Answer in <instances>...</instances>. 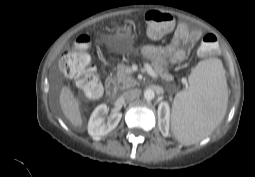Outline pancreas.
I'll use <instances>...</instances> for the list:
<instances>
[{
  "instance_id": "pancreas-1",
  "label": "pancreas",
  "mask_w": 255,
  "mask_h": 177,
  "mask_svg": "<svg viewBox=\"0 0 255 177\" xmlns=\"http://www.w3.org/2000/svg\"><path fill=\"white\" fill-rule=\"evenodd\" d=\"M152 65L154 67L155 72L159 74L162 79L166 81L173 80V76L169 73V71L165 67H163L161 63L154 62ZM115 82L117 87L121 90H125L137 85V81L132 77L131 68L124 64H118Z\"/></svg>"
}]
</instances>
